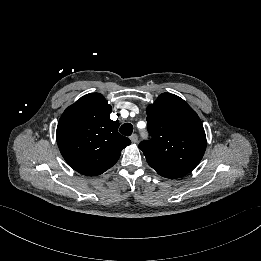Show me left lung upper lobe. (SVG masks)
<instances>
[{"instance_id": "obj_1", "label": "left lung upper lobe", "mask_w": 261, "mask_h": 261, "mask_svg": "<svg viewBox=\"0 0 261 261\" xmlns=\"http://www.w3.org/2000/svg\"><path fill=\"white\" fill-rule=\"evenodd\" d=\"M151 140L142 141L148 164L158 174L182 177L202 159L206 135L196 112L180 97L161 94L147 109Z\"/></svg>"}]
</instances>
